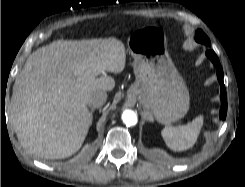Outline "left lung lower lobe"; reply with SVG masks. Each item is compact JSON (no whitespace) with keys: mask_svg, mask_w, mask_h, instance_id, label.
<instances>
[{"mask_svg":"<svg viewBox=\"0 0 245 187\" xmlns=\"http://www.w3.org/2000/svg\"><path fill=\"white\" fill-rule=\"evenodd\" d=\"M206 55L213 62L214 66L217 69V77L220 83V90H221L220 99L222 102L221 109H220V119L224 120L227 114V95H226V89L223 81V71L219 59L213 50L207 51Z\"/></svg>","mask_w":245,"mask_h":187,"instance_id":"obj_1","label":"left lung lower lobe"}]
</instances>
